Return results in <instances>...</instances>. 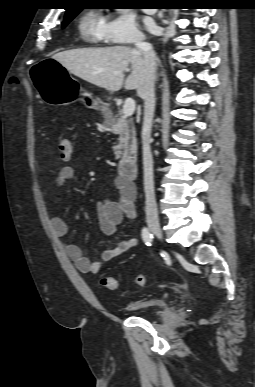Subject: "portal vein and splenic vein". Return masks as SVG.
I'll return each mask as SVG.
<instances>
[{
	"instance_id": "obj_1",
	"label": "portal vein and splenic vein",
	"mask_w": 255,
	"mask_h": 387,
	"mask_svg": "<svg viewBox=\"0 0 255 387\" xmlns=\"http://www.w3.org/2000/svg\"><path fill=\"white\" fill-rule=\"evenodd\" d=\"M124 117H131L135 111V101L132 98H127L123 105Z\"/></svg>"
}]
</instances>
